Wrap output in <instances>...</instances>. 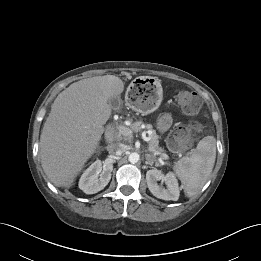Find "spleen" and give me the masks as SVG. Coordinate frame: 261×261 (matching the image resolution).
Listing matches in <instances>:
<instances>
[{
	"label": "spleen",
	"mask_w": 261,
	"mask_h": 261,
	"mask_svg": "<svg viewBox=\"0 0 261 261\" xmlns=\"http://www.w3.org/2000/svg\"><path fill=\"white\" fill-rule=\"evenodd\" d=\"M215 159V138L207 136L191 151L189 157L186 156L177 161L173 169L187 196H194L204 186L213 170Z\"/></svg>",
	"instance_id": "spleen-1"
}]
</instances>
